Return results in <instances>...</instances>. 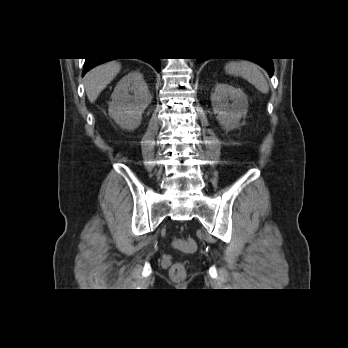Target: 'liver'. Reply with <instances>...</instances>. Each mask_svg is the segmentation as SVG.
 Masks as SVG:
<instances>
[{"label":"liver","instance_id":"obj_1","mask_svg":"<svg viewBox=\"0 0 348 348\" xmlns=\"http://www.w3.org/2000/svg\"><path fill=\"white\" fill-rule=\"evenodd\" d=\"M121 65L115 60L109 61L91 69L84 79L87 97L93 103L101 91L116 77Z\"/></svg>","mask_w":348,"mask_h":348}]
</instances>
